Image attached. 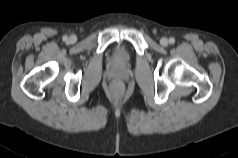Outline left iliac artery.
<instances>
[{
  "label": "left iliac artery",
  "instance_id": "44dca946",
  "mask_svg": "<svg viewBox=\"0 0 238 158\" xmlns=\"http://www.w3.org/2000/svg\"><path fill=\"white\" fill-rule=\"evenodd\" d=\"M169 42H170V44H174V43H175V39H174L173 37H171V38L169 39Z\"/></svg>",
  "mask_w": 238,
  "mask_h": 158
}]
</instances>
